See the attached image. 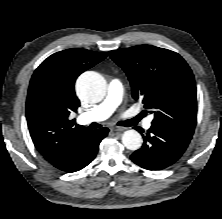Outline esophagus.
Listing matches in <instances>:
<instances>
[{"label": "esophagus", "instance_id": "obj_1", "mask_svg": "<svg viewBox=\"0 0 222 219\" xmlns=\"http://www.w3.org/2000/svg\"><path fill=\"white\" fill-rule=\"evenodd\" d=\"M124 130H125V128H123V127H113L112 128V131H114V132H122Z\"/></svg>", "mask_w": 222, "mask_h": 219}]
</instances>
